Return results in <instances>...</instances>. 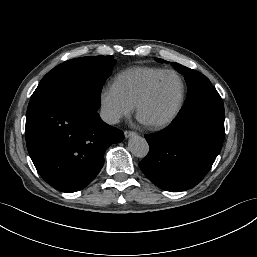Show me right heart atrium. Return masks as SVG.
Listing matches in <instances>:
<instances>
[{"label": "right heart atrium", "mask_w": 257, "mask_h": 257, "mask_svg": "<svg viewBox=\"0 0 257 257\" xmlns=\"http://www.w3.org/2000/svg\"><path fill=\"white\" fill-rule=\"evenodd\" d=\"M99 102L103 119L111 124L129 116L134 109V105L128 102L114 86L102 88Z\"/></svg>", "instance_id": "d8ad5b80"}]
</instances>
